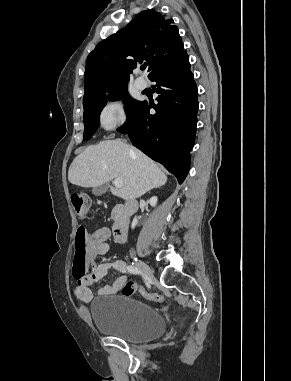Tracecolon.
Listing matches in <instances>:
<instances>
[{
    "instance_id": "5ec220e1",
    "label": "colon",
    "mask_w": 291,
    "mask_h": 381,
    "mask_svg": "<svg viewBox=\"0 0 291 381\" xmlns=\"http://www.w3.org/2000/svg\"><path fill=\"white\" fill-rule=\"evenodd\" d=\"M72 204L75 212L80 220H86L89 217L90 201L88 198L76 195L72 198ZM87 250H88V232L85 227L80 226L77 230L75 241V263L78 269L82 272L85 271L87 262ZM139 291L137 285L128 281L121 286V293L126 296L135 295ZM140 294L152 301L162 302L164 297L157 293L147 292L144 290L139 291Z\"/></svg>"
}]
</instances>
